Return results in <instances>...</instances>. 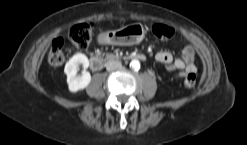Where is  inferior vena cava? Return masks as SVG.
<instances>
[{
    "label": "inferior vena cava",
    "instance_id": "inferior-vena-cava-1",
    "mask_svg": "<svg viewBox=\"0 0 247 145\" xmlns=\"http://www.w3.org/2000/svg\"><path fill=\"white\" fill-rule=\"evenodd\" d=\"M122 68V63L120 61H109L106 64L107 71H115Z\"/></svg>",
    "mask_w": 247,
    "mask_h": 145
}]
</instances>
